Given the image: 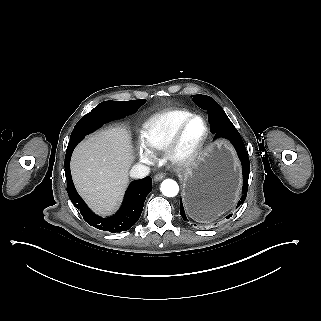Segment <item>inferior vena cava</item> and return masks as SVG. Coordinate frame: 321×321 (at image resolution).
<instances>
[{
  "mask_svg": "<svg viewBox=\"0 0 321 321\" xmlns=\"http://www.w3.org/2000/svg\"><path fill=\"white\" fill-rule=\"evenodd\" d=\"M149 173H150V168L142 164H136L130 170V176L132 178H137V179L144 178Z\"/></svg>",
  "mask_w": 321,
  "mask_h": 321,
  "instance_id": "1",
  "label": "inferior vena cava"
}]
</instances>
